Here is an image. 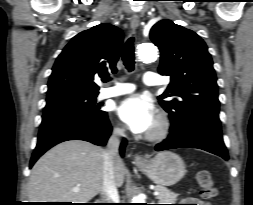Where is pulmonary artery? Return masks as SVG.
Here are the masks:
<instances>
[{"label": "pulmonary artery", "mask_w": 253, "mask_h": 205, "mask_svg": "<svg viewBox=\"0 0 253 205\" xmlns=\"http://www.w3.org/2000/svg\"><path fill=\"white\" fill-rule=\"evenodd\" d=\"M143 82L145 85L148 86H156L161 84V80L159 79L158 75L151 71H147L144 74ZM134 90L135 86L131 83L115 82V84L112 87L103 88L100 91L98 98L100 100H103L106 98L131 93Z\"/></svg>", "instance_id": "e3ab8cb5"}]
</instances>
